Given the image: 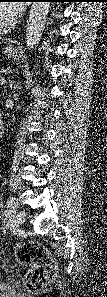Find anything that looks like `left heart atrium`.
Here are the masks:
<instances>
[{
  "label": "left heart atrium",
  "mask_w": 107,
  "mask_h": 297,
  "mask_svg": "<svg viewBox=\"0 0 107 297\" xmlns=\"http://www.w3.org/2000/svg\"><path fill=\"white\" fill-rule=\"evenodd\" d=\"M22 11H23L22 5L17 4L13 6V8L11 9L12 21L17 19L22 14Z\"/></svg>",
  "instance_id": "1"
}]
</instances>
